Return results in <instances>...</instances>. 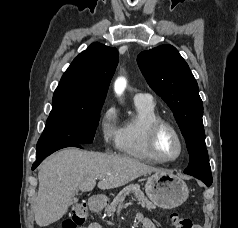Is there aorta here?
<instances>
[{
	"mask_svg": "<svg viewBox=\"0 0 238 228\" xmlns=\"http://www.w3.org/2000/svg\"><path fill=\"white\" fill-rule=\"evenodd\" d=\"M126 88V79L123 77L118 78L115 81L114 89L118 95H121Z\"/></svg>",
	"mask_w": 238,
	"mask_h": 228,
	"instance_id": "762f6f07",
	"label": "aorta"
}]
</instances>
